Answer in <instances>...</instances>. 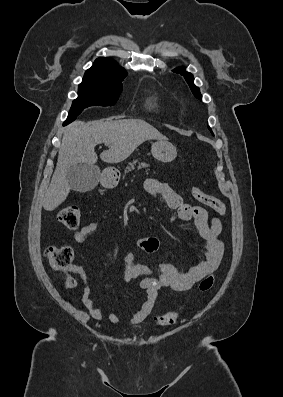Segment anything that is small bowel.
Masks as SVG:
<instances>
[{"mask_svg": "<svg viewBox=\"0 0 283 397\" xmlns=\"http://www.w3.org/2000/svg\"><path fill=\"white\" fill-rule=\"evenodd\" d=\"M144 189L149 195L160 198L174 211L173 220L192 222L203 239L204 245L199 260L186 270H180L168 263L159 264L154 270L147 263L137 262L134 253L130 252L125 255L122 281L127 283L138 276H143L139 286L146 294V300L129 321L131 325L140 324L151 314L162 289L169 288L177 291L191 289L198 281L219 267L224 254V243L220 238L222 225L218 218H209L204 208L185 203L181 195L163 181L148 178L144 182ZM104 221L105 216H101L76 230L73 234L74 240L83 243L98 230ZM139 246L145 252L153 253L158 249L159 242L155 237H146L139 240ZM73 272L82 281L84 305L88 308L92 318L101 320L103 311L91 299V290L85 271L83 268L75 266ZM108 319L113 324L121 323L120 317L114 312L108 314Z\"/></svg>", "mask_w": 283, "mask_h": 397, "instance_id": "small-bowel-1", "label": "small bowel"}]
</instances>
